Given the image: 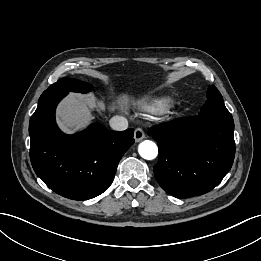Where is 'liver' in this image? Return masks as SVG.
<instances>
[{
    "label": "liver",
    "instance_id": "6515ba94",
    "mask_svg": "<svg viewBox=\"0 0 261 261\" xmlns=\"http://www.w3.org/2000/svg\"><path fill=\"white\" fill-rule=\"evenodd\" d=\"M126 102V97L121 98ZM103 108V105H100ZM90 101L78 94H70L57 109V123L67 133L84 128L91 120Z\"/></svg>",
    "mask_w": 261,
    "mask_h": 261
}]
</instances>
